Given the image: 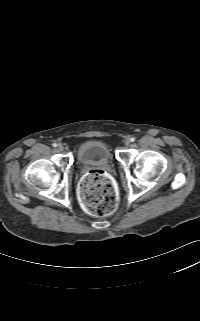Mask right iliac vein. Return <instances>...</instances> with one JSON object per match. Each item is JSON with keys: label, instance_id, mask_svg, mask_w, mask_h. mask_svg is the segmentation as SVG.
Instances as JSON below:
<instances>
[{"label": "right iliac vein", "instance_id": "obj_1", "mask_svg": "<svg viewBox=\"0 0 200 321\" xmlns=\"http://www.w3.org/2000/svg\"><path fill=\"white\" fill-rule=\"evenodd\" d=\"M57 149H58L59 151H63V150H64V147H63L62 144H59V145L57 146Z\"/></svg>", "mask_w": 200, "mask_h": 321}]
</instances>
